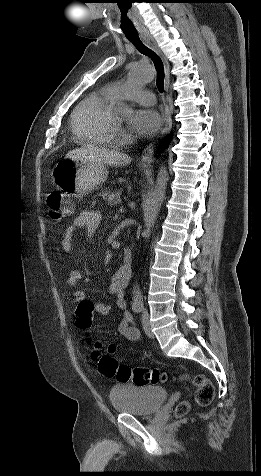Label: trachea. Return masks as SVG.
<instances>
[{
	"label": "trachea",
	"instance_id": "trachea-1",
	"mask_svg": "<svg viewBox=\"0 0 261 476\" xmlns=\"http://www.w3.org/2000/svg\"><path fill=\"white\" fill-rule=\"evenodd\" d=\"M127 39L136 47V49L151 58L155 68L157 70V80L156 85L160 92L164 91V68L161 58L149 47H147L140 39L138 35L136 36H127Z\"/></svg>",
	"mask_w": 261,
	"mask_h": 476
}]
</instances>
